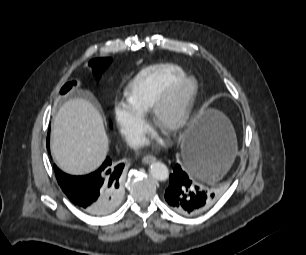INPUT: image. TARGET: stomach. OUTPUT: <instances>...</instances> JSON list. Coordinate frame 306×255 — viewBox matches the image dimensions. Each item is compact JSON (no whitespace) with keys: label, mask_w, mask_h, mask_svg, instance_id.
Segmentation results:
<instances>
[{"label":"stomach","mask_w":306,"mask_h":255,"mask_svg":"<svg viewBox=\"0 0 306 255\" xmlns=\"http://www.w3.org/2000/svg\"><path fill=\"white\" fill-rule=\"evenodd\" d=\"M198 143L210 148L222 150L225 145L230 146L228 154L218 160L213 175L208 177L198 171H192L197 179L209 183L220 179L230 168L236 154V139L234 129L230 121L221 112L207 109L199 112L191 120L181 140L183 154L191 143Z\"/></svg>","instance_id":"1"}]
</instances>
